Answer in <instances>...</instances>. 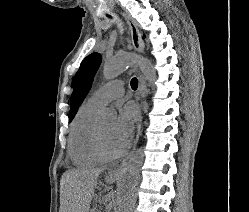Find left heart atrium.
Listing matches in <instances>:
<instances>
[{"mask_svg": "<svg viewBox=\"0 0 249 212\" xmlns=\"http://www.w3.org/2000/svg\"><path fill=\"white\" fill-rule=\"evenodd\" d=\"M137 117V110L132 104L120 110L111 133V143L117 152L128 147Z\"/></svg>", "mask_w": 249, "mask_h": 212, "instance_id": "left-heart-atrium-1", "label": "left heart atrium"}]
</instances>
